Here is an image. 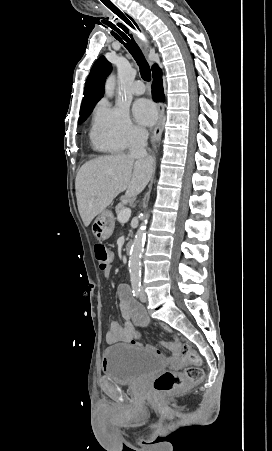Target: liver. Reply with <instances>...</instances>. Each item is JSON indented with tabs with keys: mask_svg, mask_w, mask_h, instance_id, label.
<instances>
[{
	"mask_svg": "<svg viewBox=\"0 0 272 451\" xmlns=\"http://www.w3.org/2000/svg\"><path fill=\"white\" fill-rule=\"evenodd\" d=\"M152 168V158L127 154L102 156L83 164L76 176L75 190L84 226H89L121 192L126 190L125 198L141 194L150 182Z\"/></svg>",
	"mask_w": 272,
	"mask_h": 451,
	"instance_id": "1",
	"label": "liver"
}]
</instances>
